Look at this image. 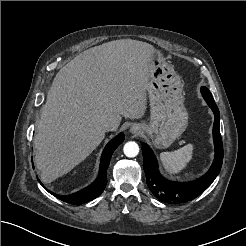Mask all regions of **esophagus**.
<instances>
[{"label":"esophagus","mask_w":246,"mask_h":246,"mask_svg":"<svg viewBox=\"0 0 246 246\" xmlns=\"http://www.w3.org/2000/svg\"><path fill=\"white\" fill-rule=\"evenodd\" d=\"M130 132L135 135H139L141 132V128L139 125L135 124L130 128Z\"/></svg>","instance_id":"34e87169"}]
</instances>
